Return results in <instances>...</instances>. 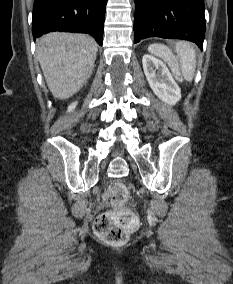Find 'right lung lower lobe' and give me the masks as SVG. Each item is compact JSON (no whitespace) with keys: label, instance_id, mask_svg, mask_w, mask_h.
I'll list each match as a JSON object with an SVG mask.
<instances>
[{"label":"right lung lower lobe","instance_id":"98d812e1","mask_svg":"<svg viewBox=\"0 0 233 284\" xmlns=\"http://www.w3.org/2000/svg\"><path fill=\"white\" fill-rule=\"evenodd\" d=\"M107 0H35L33 37L52 31L88 33L102 45Z\"/></svg>","mask_w":233,"mask_h":284}]
</instances>
